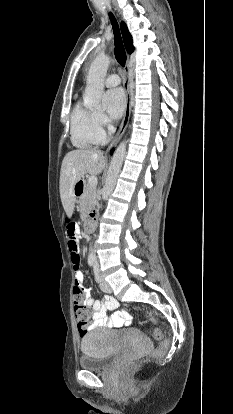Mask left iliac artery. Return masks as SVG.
<instances>
[{"mask_svg":"<svg viewBox=\"0 0 233 414\" xmlns=\"http://www.w3.org/2000/svg\"><path fill=\"white\" fill-rule=\"evenodd\" d=\"M93 267H94L95 280L99 283L102 281V277L100 275V270H99V265L95 263Z\"/></svg>","mask_w":233,"mask_h":414,"instance_id":"44dca946","label":"left iliac artery"}]
</instances>
